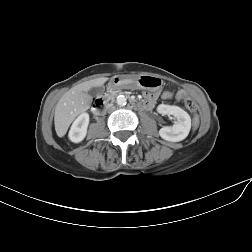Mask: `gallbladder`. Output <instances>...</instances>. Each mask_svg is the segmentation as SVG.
Here are the masks:
<instances>
[{
	"label": "gallbladder",
	"mask_w": 252,
	"mask_h": 252,
	"mask_svg": "<svg viewBox=\"0 0 252 252\" xmlns=\"http://www.w3.org/2000/svg\"><path fill=\"white\" fill-rule=\"evenodd\" d=\"M104 92V86H97V87H93L88 91V94L91 97H97L99 95H101Z\"/></svg>",
	"instance_id": "1"
}]
</instances>
